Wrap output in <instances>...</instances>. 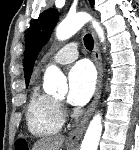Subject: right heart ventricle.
Segmentation results:
<instances>
[{"label": "right heart ventricle", "instance_id": "e07e8e85", "mask_svg": "<svg viewBox=\"0 0 139 150\" xmlns=\"http://www.w3.org/2000/svg\"><path fill=\"white\" fill-rule=\"evenodd\" d=\"M64 119L60 105L52 96L44 93L38 84L34 85L26 108L28 130L36 136L57 133Z\"/></svg>", "mask_w": 139, "mask_h": 150}]
</instances>
